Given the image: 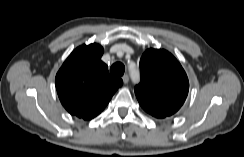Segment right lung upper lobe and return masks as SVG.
Masks as SVG:
<instances>
[{
	"mask_svg": "<svg viewBox=\"0 0 244 157\" xmlns=\"http://www.w3.org/2000/svg\"><path fill=\"white\" fill-rule=\"evenodd\" d=\"M103 48L96 43L76 48L63 63L55 79L59 99L65 109L84 120L96 117L122 86L111 76L100 58Z\"/></svg>",
	"mask_w": 244,
	"mask_h": 157,
	"instance_id": "obj_1",
	"label": "right lung upper lobe"
}]
</instances>
